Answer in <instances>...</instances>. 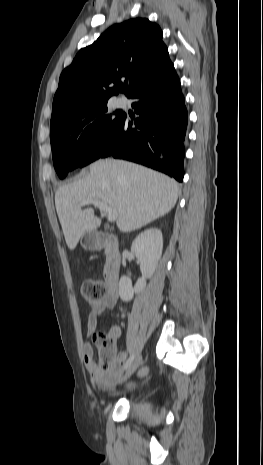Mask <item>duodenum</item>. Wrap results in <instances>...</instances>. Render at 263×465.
I'll use <instances>...</instances> for the list:
<instances>
[{
  "mask_svg": "<svg viewBox=\"0 0 263 465\" xmlns=\"http://www.w3.org/2000/svg\"><path fill=\"white\" fill-rule=\"evenodd\" d=\"M86 245L89 249H104L106 251L107 260L104 270L105 280L107 282L109 292L117 294L122 263L117 238L114 235L105 233L91 235L87 239Z\"/></svg>",
  "mask_w": 263,
  "mask_h": 465,
  "instance_id": "410a0bca",
  "label": "duodenum"
}]
</instances>
